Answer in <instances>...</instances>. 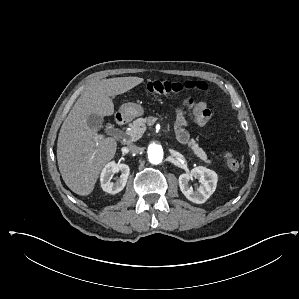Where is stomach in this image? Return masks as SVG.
Wrapping results in <instances>:
<instances>
[{"label":"stomach","instance_id":"1","mask_svg":"<svg viewBox=\"0 0 299 299\" xmlns=\"http://www.w3.org/2000/svg\"><path fill=\"white\" fill-rule=\"evenodd\" d=\"M120 113L126 118V119H134L136 117H139L143 115L144 109L141 105L128 102L121 106Z\"/></svg>","mask_w":299,"mask_h":299}]
</instances>
